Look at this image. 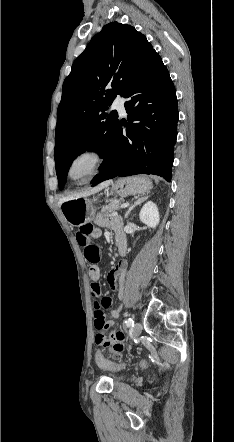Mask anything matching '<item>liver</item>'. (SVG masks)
<instances>
[{
	"instance_id": "obj_1",
	"label": "liver",
	"mask_w": 234,
	"mask_h": 442,
	"mask_svg": "<svg viewBox=\"0 0 234 442\" xmlns=\"http://www.w3.org/2000/svg\"><path fill=\"white\" fill-rule=\"evenodd\" d=\"M112 183H113L112 180L104 181V182L100 183L98 186H96V187H94V188H91V189H89V190H87V191H85V192H83V193L76 194V195L69 196V197H66V198L61 199V200L59 201V204L61 205L63 202L68 201V200L76 199V198H79V197H86V196H88V195L95 194V193L101 191L102 189L108 187V186L111 185Z\"/></svg>"
}]
</instances>
